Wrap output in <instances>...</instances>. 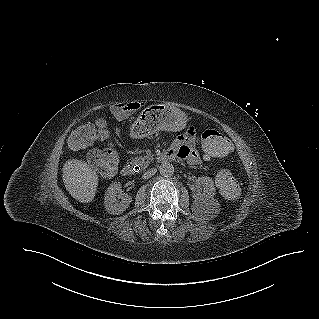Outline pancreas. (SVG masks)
Returning a JSON list of instances; mask_svg holds the SVG:
<instances>
[{
    "mask_svg": "<svg viewBox=\"0 0 319 319\" xmlns=\"http://www.w3.org/2000/svg\"><path fill=\"white\" fill-rule=\"evenodd\" d=\"M152 157L144 156V157H135L132 161L134 164L139 165L141 168H146Z\"/></svg>",
    "mask_w": 319,
    "mask_h": 319,
    "instance_id": "cf45deb5",
    "label": "pancreas"
}]
</instances>
